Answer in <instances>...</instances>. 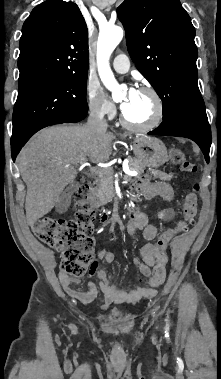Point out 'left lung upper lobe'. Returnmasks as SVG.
Listing matches in <instances>:
<instances>
[{
	"mask_svg": "<svg viewBox=\"0 0 221 379\" xmlns=\"http://www.w3.org/2000/svg\"><path fill=\"white\" fill-rule=\"evenodd\" d=\"M117 16L131 59L174 113L207 118L197 84L195 28L179 0H125Z\"/></svg>",
	"mask_w": 221,
	"mask_h": 379,
	"instance_id": "1",
	"label": "left lung upper lobe"
}]
</instances>
